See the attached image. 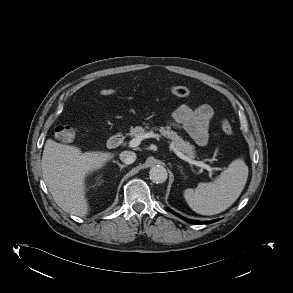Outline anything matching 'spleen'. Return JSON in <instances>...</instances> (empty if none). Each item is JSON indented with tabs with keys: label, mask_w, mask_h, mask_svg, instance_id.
Here are the masks:
<instances>
[{
	"label": "spleen",
	"mask_w": 293,
	"mask_h": 293,
	"mask_svg": "<svg viewBox=\"0 0 293 293\" xmlns=\"http://www.w3.org/2000/svg\"><path fill=\"white\" fill-rule=\"evenodd\" d=\"M248 178V166L242 158L232 161L214 182L199 183L186 189L184 198L201 215H215L228 209L240 196Z\"/></svg>",
	"instance_id": "1"
}]
</instances>
